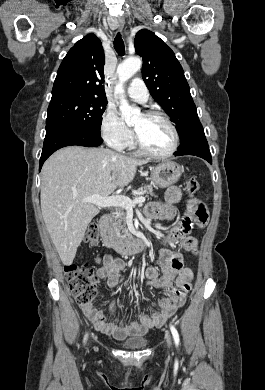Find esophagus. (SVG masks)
Wrapping results in <instances>:
<instances>
[{"label":"esophagus","instance_id":"34e87169","mask_svg":"<svg viewBox=\"0 0 265 390\" xmlns=\"http://www.w3.org/2000/svg\"><path fill=\"white\" fill-rule=\"evenodd\" d=\"M124 24H125V20L123 18H118L117 19V25H118V28H119L120 31L123 29Z\"/></svg>","mask_w":265,"mask_h":390}]
</instances>
